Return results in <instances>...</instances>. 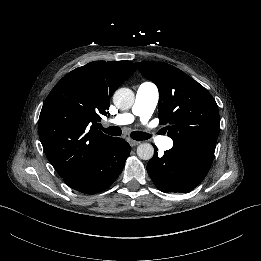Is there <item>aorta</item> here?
Returning a JSON list of instances; mask_svg holds the SVG:
<instances>
[{
	"instance_id": "obj_1",
	"label": "aorta",
	"mask_w": 261,
	"mask_h": 261,
	"mask_svg": "<svg viewBox=\"0 0 261 261\" xmlns=\"http://www.w3.org/2000/svg\"><path fill=\"white\" fill-rule=\"evenodd\" d=\"M134 101V92L129 88H119L113 95L114 105L121 110L130 109L134 104ZM137 155L142 160H149L154 155V148L148 143L140 144L137 148Z\"/></svg>"
}]
</instances>
